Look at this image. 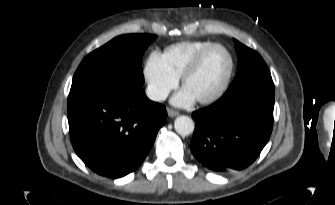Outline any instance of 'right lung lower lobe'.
Listing matches in <instances>:
<instances>
[{
	"label": "right lung lower lobe",
	"mask_w": 335,
	"mask_h": 205,
	"mask_svg": "<svg viewBox=\"0 0 335 205\" xmlns=\"http://www.w3.org/2000/svg\"><path fill=\"white\" fill-rule=\"evenodd\" d=\"M72 146L94 172L119 178L145 159L166 121L163 105L142 89L131 92L93 91L68 99Z\"/></svg>",
	"instance_id": "right-lung-lower-lobe-1"
}]
</instances>
